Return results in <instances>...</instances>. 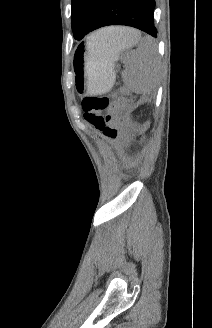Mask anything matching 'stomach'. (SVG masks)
Wrapping results in <instances>:
<instances>
[{
	"mask_svg": "<svg viewBox=\"0 0 212 328\" xmlns=\"http://www.w3.org/2000/svg\"><path fill=\"white\" fill-rule=\"evenodd\" d=\"M124 48H118V55L121 49ZM115 61L113 57H109L104 52L95 53L88 48L87 44L84 48H80L75 55L74 70L76 73V84L81 92L82 90H85L87 94L107 92L115 80Z\"/></svg>",
	"mask_w": 212,
	"mask_h": 328,
	"instance_id": "0dacf381",
	"label": "stomach"
}]
</instances>
